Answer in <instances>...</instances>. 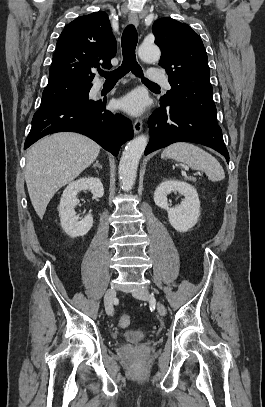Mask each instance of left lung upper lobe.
Returning a JSON list of instances; mask_svg holds the SVG:
<instances>
[{"mask_svg": "<svg viewBox=\"0 0 265 407\" xmlns=\"http://www.w3.org/2000/svg\"><path fill=\"white\" fill-rule=\"evenodd\" d=\"M155 44L161 49L159 65L168 73L171 90L162 96V106H177L217 121L207 54L198 34L172 18L154 22Z\"/></svg>", "mask_w": 265, "mask_h": 407, "instance_id": "5c2ea615", "label": "left lung upper lobe"}]
</instances>
